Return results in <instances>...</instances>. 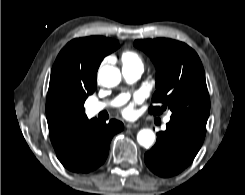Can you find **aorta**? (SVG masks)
Segmentation results:
<instances>
[{
	"instance_id": "obj_1",
	"label": "aorta",
	"mask_w": 245,
	"mask_h": 195,
	"mask_svg": "<svg viewBox=\"0 0 245 195\" xmlns=\"http://www.w3.org/2000/svg\"><path fill=\"white\" fill-rule=\"evenodd\" d=\"M101 84L105 87H114L121 81V73L117 67L103 66L98 73ZM139 145L149 148L155 141V133L151 129H141L137 134Z\"/></svg>"
}]
</instances>
